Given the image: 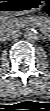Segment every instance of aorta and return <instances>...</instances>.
<instances>
[{"label":"aorta","mask_w":50,"mask_h":111,"mask_svg":"<svg viewBox=\"0 0 50 111\" xmlns=\"http://www.w3.org/2000/svg\"><path fill=\"white\" fill-rule=\"evenodd\" d=\"M24 38L27 41L33 42L36 40L37 38V31L34 29H28L26 30V32L24 33Z\"/></svg>","instance_id":"obj_1"}]
</instances>
